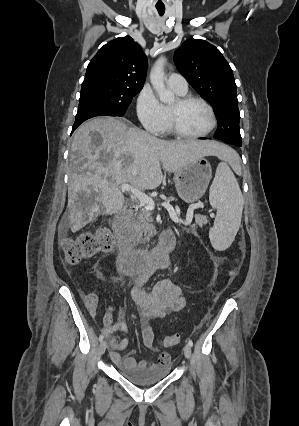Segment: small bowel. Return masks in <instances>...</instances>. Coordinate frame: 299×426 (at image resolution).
I'll list each match as a JSON object with an SVG mask.
<instances>
[{
	"label": "small bowel",
	"mask_w": 299,
	"mask_h": 426,
	"mask_svg": "<svg viewBox=\"0 0 299 426\" xmlns=\"http://www.w3.org/2000/svg\"><path fill=\"white\" fill-rule=\"evenodd\" d=\"M171 264L172 261L169 256L161 257L150 266L133 275L134 284L131 290V297L137 305L140 317L144 321L142 328L143 344L153 351H157V348L154 346L155 335L149 321L179 311L186 303L182 288L170 280L163 279L158 281L150 291L145 288L149 278L157 270L169 268ZM115 332L122 333L124 337L122 339L117 338L114 335ZM103 333L109 342L111 360L119 368L133 369L157 365L167 366L171 362V357L166 352L159 354L157 363L148 360L138 361L135 358V350L122 357L119 352L126 349L129 344L128 328L123 320L114 321L112 307L108 308L103 317Z\"/></svg>",
	"instance_id": "1"
}]
</instances>
